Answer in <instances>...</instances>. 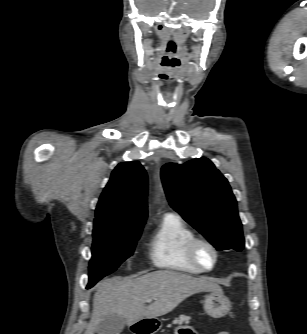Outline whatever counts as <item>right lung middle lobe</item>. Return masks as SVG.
Here are the masks:
<instances>
[{
    "label": "right lung middle lobe",
    "instance_id": "1",
    "mask_svg": "<svg viewBox=\"0 0 307 334\" xmlns=\"http://www.w3.org/2000/svg\"><path fill=\"white\" fill-rule=\"evenodd\" d=\"M142 228L143 225H124L93 230L94 240L87 288L115 271L133 254Z\"/></svg>",
    "mask_w": 307,
    "mask_h": 334
}]
</instances>
